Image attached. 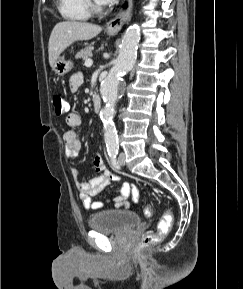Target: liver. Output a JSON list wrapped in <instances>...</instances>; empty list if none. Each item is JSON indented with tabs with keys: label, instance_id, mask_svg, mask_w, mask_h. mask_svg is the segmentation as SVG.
Returning a JSON list of instances; mask_svg holds the SVG:
<instances>
[{
	"label": "liver",
	"instance_id": "liver-1",
	"mask_svg": "<svg viewBox=\"0 0 243 289\" xmlns=\"http://www.w3.org/2000/svg\"><path fill=\"white\" fill-rule=\"evenodd\" d=\"M102 28L86 22L62 21L53 28L48 44L49 64L53 67L59 55L76 41H86L96 37Z\"/></svg>",
	"mask_w": 243,
	"mask_h": 289
}]
</instances>
